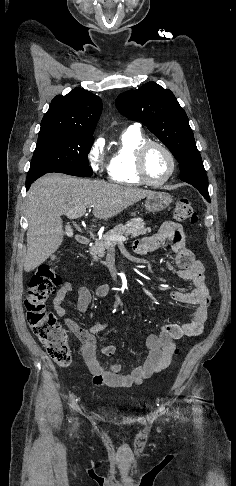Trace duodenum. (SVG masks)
<instances>
[{"label": "duodenum", "mask_w": 236, "mask_h": 486, "mask_svg": "<svg viewBox=\"0 0 236 486\" xmlns=\"http://www.w3.org/2000/svg\"><path fill=\"white\" fill-rule=\"evenodd\" d=\"M75 240L80 245H87L89 243L88 237L83 234L75 235Z\"/></svg>", "instance_id": "duodenum-1"}]
</instances>
